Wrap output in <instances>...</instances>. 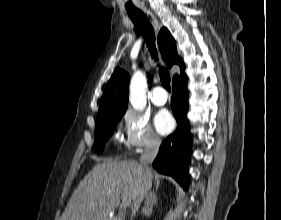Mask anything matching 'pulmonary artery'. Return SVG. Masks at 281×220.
<instances>
[{"mask_svg":"<svg viewBox=\"0 0 281 220\" xmlns=\"http://www.w3.org/2000/svg\"><path fill=\"white\" fill-rule=\"evenodd\" d=\"M151 101L157 105L162 106L167 102V93L161 86H157L153 89L151 95Z\"/></svg>","mask_w":281,"mask_h":220,"instance_id":"1","label":"pulmonary artery"}]
</instances>
